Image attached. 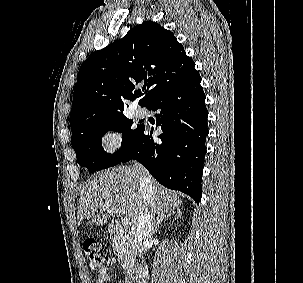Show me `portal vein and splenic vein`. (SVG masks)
Here are the masks:
<instances>
[{"label":"portal vein and splenic vein","instance_id":"obj_1","mask_svg":"<svg viewBox=\"0 0 303 283\" xmlns=\"http://www.w3.org/2000/svg\"><path fill=\"white\" fill-rule=\"evenodd\" d=\"M112 212L118 213L119 210L116 209V210H114V211H112ZM121 223H122V225H123L124 227H127V226L130 225V221H129L127 218H123V219L121 220Z\"/></svg>","mask_w":303,"mask_h":283}]
</instances>
